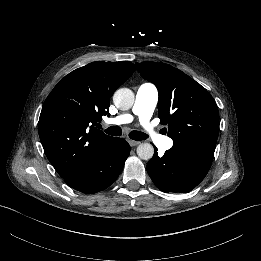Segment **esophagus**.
Segmentation results:
<instances>
[{
	"mask_svg": "<svg viewBox=\"0 0 261 261\" xmlns=\"http://www.w3.org/2000/svg\"><path fill=\"white\" fill-rule=\"evenodd\" d=\"M128 142H129L130 146H137L141 143L140 141H134V140H129Z\"/></svg>",
	"mask_w": 261,
	"mask_h": 261,
	"instance_id": "obj_1",
	"label": "esophagus"
}]
</instances>
